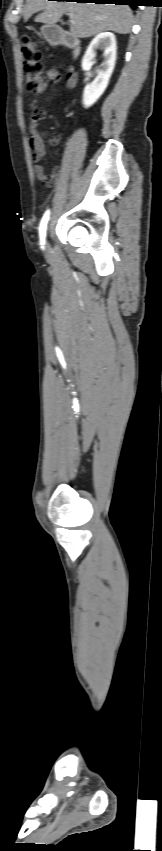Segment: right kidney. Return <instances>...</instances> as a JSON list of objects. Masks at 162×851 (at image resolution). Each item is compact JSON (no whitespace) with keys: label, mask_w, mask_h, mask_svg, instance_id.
Listing matches in <instances>:
<instances>
[{"label":"right kidney","mask_w":162,"mask_h":851,"mask_svg":"<svg viewBox=\"0 0 162 851\" xmlns=\"http://www.w3.org/2000/svg\"><path fill=\"white\" fill-rule=\"evenodd\" d=\"M97 49L104 50V62L94 81L88 83L84 88L82 103L85 108H89L98 100L109 83L116 61L117 48L114 34L102 32L91 41L82 59L83 71L91 69Z\"/></svg>","instance_id":"right-kidney-1"}]
</instances>
